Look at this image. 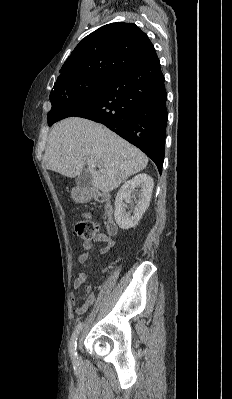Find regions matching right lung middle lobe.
Segmentation results:
<instances>
[{
  "label": "right lung middle lobe",
  "mask_w": 232,
  "mask_h": 399,
  "mask_svg": "<svg viewBox=\"0 0 232 399\" xmlns=\"http://www.w3.org/2000/svg\"><path fill=\"white\" fill-rule=\"evenodd\" d=\"M109 81V78H85L74 82L62 93L50 95L52 108L48 113V125L70 104L79 103L95 95Z\"/></svg>",
  "instance_id": "right-lung-middle-lobe-1"
}]
</instances>
